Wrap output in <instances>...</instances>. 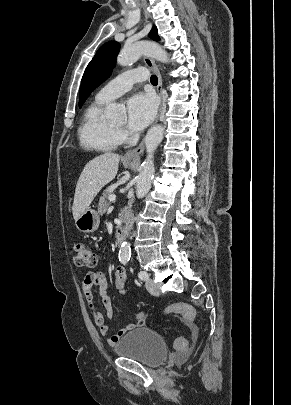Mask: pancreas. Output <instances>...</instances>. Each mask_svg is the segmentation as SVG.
<instances>
[{
    "label": "pancreas",
    "mask_w": 291,
    "mask_h": 405,
    "mask_svg": "<svg viewBox=\"0 0 291 405\" xmlns=\"http://www.w3.org/2000/svg\"><path fill=\"white\" fill-rule=\"evenodd\" d=\"M110 195H112V192L108 189L103 192L102 197L100 198L98 203L99 214L103 215L107 212L111 203V201L109 200Z\"/></svg>",
    "instance_id": "cf45deb5"
}]
</instances>
